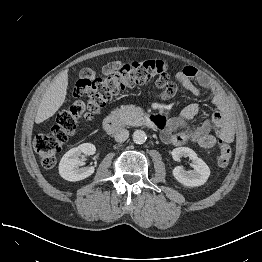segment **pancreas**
<instances>
[{
  "mask_svg": "<svg viewBox=\"0 0 262 262\" xmlns=\"http://www.w3.org/2000/svg\"><path fill=\"white\" fill-rule=\"evenodd\" d=\"M111 114L126 125H140L143 118V110L134 105L121 106L113 110Z\"/></svg>",
  "mask_w": 262,
  "mask_h": 262,
  "instance_id": "pancreas-1",
  "label": "pancreas"
}]
</instances>
